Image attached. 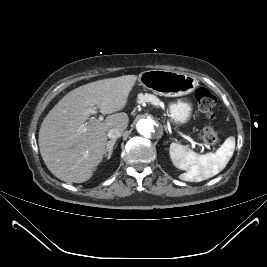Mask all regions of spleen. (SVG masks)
Segmentation results:
<instances>
[{
    "instance_id": "spleen-1",
    "label": "spleen",
    "mask_w": 267,
    "mask_h": 267,
    "mask_svg": "<svg viewBox=\"0 0 267 267\" xmlns=\"http://www.w3.org/2000/svg\"><path fill=\"white\" fill-rule=\"evenodd\" d=\"M235 138L228 137L214 153L198 155L187 146L171 143L169 153L175 167L186 171L179 178L183 181L200 182L221 172L231 159Z\"/></svg>"
}]
</instances>
